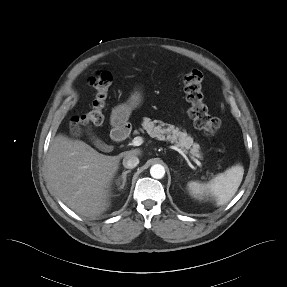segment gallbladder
Returning a JSON list of instances; mask_svg holds the SVG:
<instances>
[{"instance_id": "gallbladder-1", "label": "gallbladder", "mask_w": 287, "mask_h": 287, "mask_svg": "<svg viewBox=\"0 0 287 287\" xmlns=\"http://www.w3.org/2000/svg\"><path fill=\"white\" fill-rule=\"evenodd\" d=\"M89 138L91 139V141L93 142V144L95 146H97L98 148H100V141L98 138H96L91 132H87Z\"/></svg>"}]
</instances>
